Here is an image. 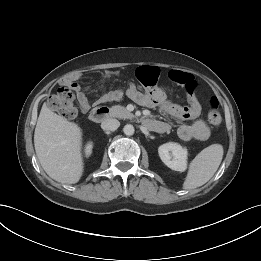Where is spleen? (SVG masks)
<instances>
[{"mask_svg":"<svg viewBox=\"0 0 261 261\" xmlns=\"http://www.w3.org/2000/svg\"><path fill=\"white\" fill-rule=\"evenodd\" d=\"M223 146L212 144L204 148L190 163L183 189L191 190L207 183L217 171L222 158Z\"/></svg>","mask_w":261,"mask_h":261,"instance_id":"3e777b00","label":"spleen"}]
</instances>
